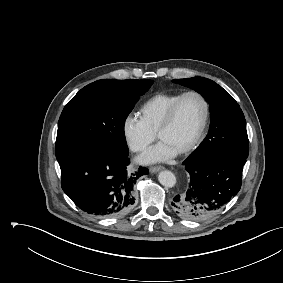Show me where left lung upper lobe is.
Wrapping results in <instances>:
<instances>
[{"mask_svg":"<svg viewBox=\"0 0 283 283\" xmlns=\"http://www.w3.org/2000/svg\"><path fill=\"white\" fill-rule=\"evenodd\" d=\"M173 82L194 89L210 104L209 133L186 160L193 161L216 154H231L247 158L249 141L246 121L236 100L221 86L207 78L174 79Z\"/></svg>","mask_w":283,"mask_h":283,"instance_id":"1","label":"left lung upper lobe"}]
</instances>
